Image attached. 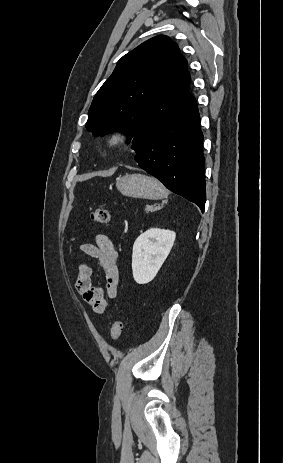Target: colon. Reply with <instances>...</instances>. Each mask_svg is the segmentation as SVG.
<instances>
[{
    "mask_svg": "<svg viewBox=\"0 0 283 463\" xmlns=\"http://www.w3.org/2000/svg\"><path fill=\"white\" fill-rule=\"evenodd\" d=\"M111 217V211L105 208H96L90 213V220L97 224H108ZM123 330V322L120 319L115 320L110 333L112 340L117 341L121 337Z\"/></svg>",
    "mask_w": 283,
    "mask_h": 463,
    "instance_id": "1",
    "label": "colon"
}]
</instances>
